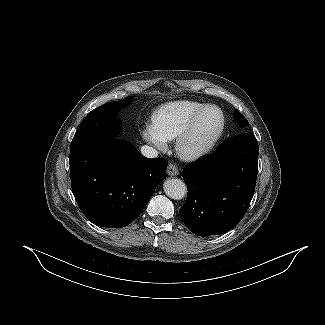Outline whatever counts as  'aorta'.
Returning <instances> with one entry per match:
<instances>
[{
	"mask_svg": "<svg viewBox=\"0 0 325 325\" xmlns=\"http://www.w3.org/2000/svg\"><path fill=\"white\" fill-rule=\"evenodd\" d=\"M164 192L172 199H182L186 194L185 183L178 178L167 179L163 184Z\"/></svg>",
	"mask_w": 325,
	"mask_h": 325,
	"instance_id": "1",
	"label": "aorta"
}]
</instances>
